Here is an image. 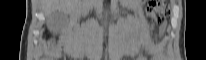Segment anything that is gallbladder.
I'll return each mask as SVG.
<instances>
[{"label": "gallbladder", "mask_w": 206, "mask_h": 60, "mask_svg": "<svg viewBox=\"0 0 206 60\" xmlns=\"http://www.w3.org/2000/svg\"><path fill=\"white\" fill-rule=\"evenodd\" d=\"M47 20L51 27H57L64 23L66 14L61 11H55L48 15Z\"/></svg>", "instance_id": "1"}]
</instances>
